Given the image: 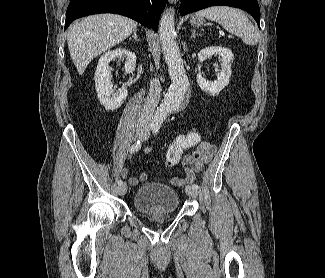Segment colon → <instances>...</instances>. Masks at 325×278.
Wrapping results in <instances>:
<instances>
[{"label": "colon", "instance_id": "obj_1", "mask_svg": "<svg viewBox=\"0 0 325 278\" xmlns=\"http://www.w3.org/2000/svg\"><path fill=\"white\" fill-rule=\"evenodd\" d=\"M199 140L198 135L193 134L191 136L182 135L176 138L168 147L165 155V164L168 167L177 165L180 160L182 153L193 147Z\"/></svg>", "mask_w": 325, "mask_h": 278}]
</instances>
